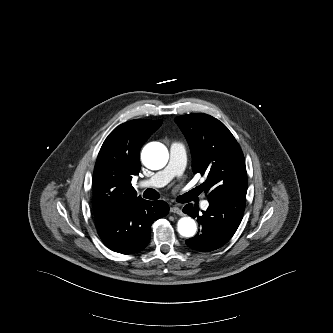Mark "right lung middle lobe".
<instances>
[{
	"mask_svg": "<svg viewBox=\"0 0 333 333\" xmlns=\"http://www.w3.org/2000/svg\"><path fill=\"white\" fill-rule=\"evenodd\" d=\"M126 205L122 204L121 200H113L112 202H109V203L93 202V210H94L95 215L107 214V213L119 210Z\"/></svg>",
	"mask_w": 333,
	"mask_h": 333,
	"instance_id": "right-lung-middle-lobe-1",
	"label": "right lung middle lobe"
}]
</instances>
